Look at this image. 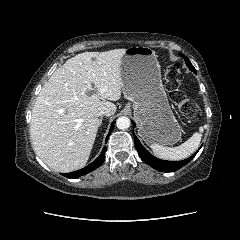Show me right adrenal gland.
<instances>
[{"instance_id":"obj_1","label":"right adrenal gland","mask_w":240,"mask_h":240,"mask_svg":"<svg viewBox=\"0 0 240 240\" xmlns=\"http://www.w3.org/2000/svg\"><path fill=\"white\" fill-rule=\"evenodd\" d=\"M102 119H103V117L100 118V124H99V127L102 125Z\"/></svg>"}]
</instances>
